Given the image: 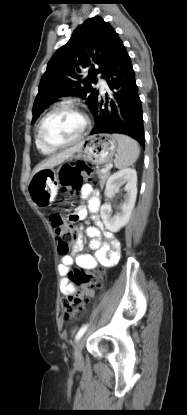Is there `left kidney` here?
<instances>
[{"label":"left kidney","instance_id":"1","mask_svg":"<svg viewBox=\"0 0 187 415\" xmlns=\"http://www.w3.org/2000/svg\"><path fill=\"white\" fill-rule=\"evenodd\" d=\"M126 183L124 190L126 192L124 201L120 204V211L114 216L111 215V204L105 203L101 206L100 215L103 223L109 231L116 233L124 227L131 216L137 196V172L132 168L122 169L112 174L106 183L105 196L109 199L113 198L119 186Z\"/></svg>","mask_w":187,"mask_h":415}]
</instances>
